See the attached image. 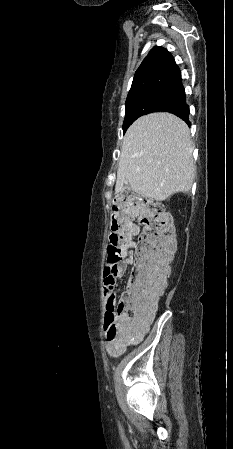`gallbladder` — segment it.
Wrapping results in <instances>:
<instances>
[{"instance_id": "obj_1", "label": "gallbladder", "mask_w": 233, "mask_h": 449, "mask_svg": "<svg viewBox=\"0 0 233 449\" xmlns=\"http://www.w3.org/2000/svg\"><path fill=\"white\" fill-rule=\"evenodd\" d=\"M127 193H128V194H133L129 189L127 190Z\"/></svg>"}]
</instances>
